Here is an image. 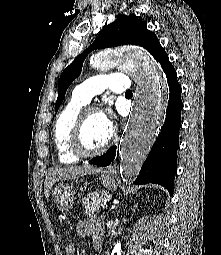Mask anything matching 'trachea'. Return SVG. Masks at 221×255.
<instances>
[{"mask_svg":"<svg viewBox=\"0 0 221 255\" xmlns=\"http://www.w3.org/2000/svg\"><path fill=\"white\" fill-rule=\"evenodd\" d=\"M125 94L126 95H132V91L128 90Z\"/></svg>","mask_w":221,"mask_h":255,"instance_id":"obj_1","label":"trachea"}]
</instances>
